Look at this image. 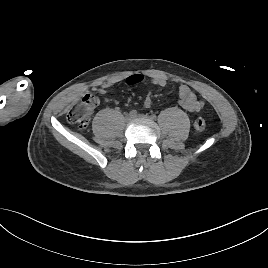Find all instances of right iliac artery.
I'll use <instances>...</instances> for the list:
<instances>
[{"instance_id":"obj_1","label":"right iliac artery","mask_w":268,"mask_h":268,"mask_svg":"<svg viewBox=\"0 0 268 268\" xmlns=\"http://www.w3.org/2000/svg\"><path fill=\"white\" fill-rule=\"evenodd\" d=\"M130 114H131L132 116H136V115H137V111H136V110H131V111H130Z\"/></svg>"}]
</instances>
